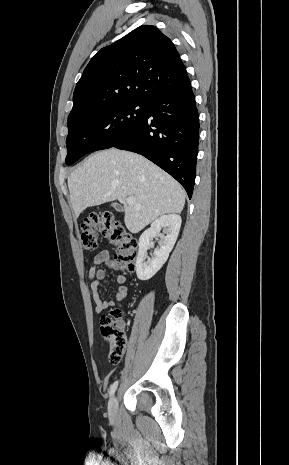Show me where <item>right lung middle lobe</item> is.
I'll list each match as a JSON object with an SVG mask.
<instances>
[{
    "label": "right lung middle lobe",
    "instance_id": "dd1d6c3e",
    "mask_svg": "<svg viewBox=\"0 0 289 465\" xmlns=\"http://www.w3.org/2000/svg\"><path fill=\"white\" fill-rule=\"evenodd\" d=\"M147 108L146 100H121L87 107L84 118L69 129L66 164H73L88 152L112 147L143 121Z\"/></svg>",
    "mask_w": 289,
    "mask_h": 465
}]
</instances>
